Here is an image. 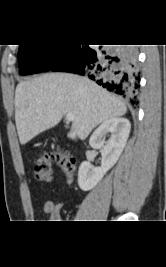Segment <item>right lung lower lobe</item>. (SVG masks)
<instances>
[{
  "instance_id": "obj_1",
  "label": "right lung lower lobe",
  "mask_w": 166,
  "mask_h": 267,
  "mask_svg": "<svg viewBox=\"0 0 166 267\" xmlns=\"http://www.w3.org/2000/svg\"><path fill=\"white\" fill-rule=\"evenodd\" d=\"M50 70L86 75L107 90L136 102L140 79L133 47L102 50L71 45Z\"/></svg>"
}]
</instances>
